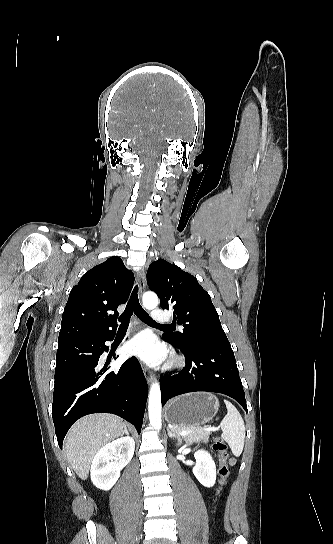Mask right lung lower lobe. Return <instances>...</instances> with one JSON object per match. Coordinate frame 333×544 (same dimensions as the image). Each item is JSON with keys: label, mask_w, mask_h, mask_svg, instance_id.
I'll list each match as a JSON object with an SVG mask.
<instances>
[{"label": "right lung lower lobe", "mask_w": 333, "mask_h": 544, "mask_svg": "<svg viewBox=\"0 0 333 544\" xmlns=\"http://www.w3.org/2000/svg\"><path fill=\"white\" fill-rule=\"evenodd\" d=\"M114 336L115 331L58 344L52 417L61 449L72 424L91 413L116 414L141 431L148 386L139 361L133 356L110 371L111 360L100 358Z\"/></svg>", "instance_id": "obj_1"}]
</instances>
